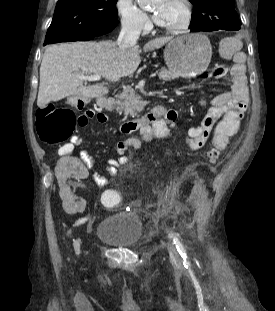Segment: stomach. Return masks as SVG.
Returning a JSON list of instances; mask_svg holds the SVG:
<instances>
[{
  "instance_id": "obj_1",
  "label": "stomach",
  "mask_w": 275,
  "mask_h": 311,
  "mask_svg": "<svg viewBox=\"0 0 275 311\" xmlns=\"http://www.w3.org/2000/svg\"><path fill=\"white\" fill-rule=\"evenodd\" d=\"M209 39L200 33L176 37L164 49V60L176 76L192 78L205 72L211 62Z\"/></svg>"
}]
</instances>
